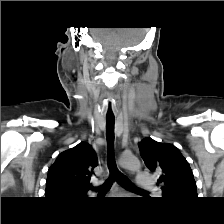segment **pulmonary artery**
<instances>
[{
  "label": "pulmonary artery",
  "mask_w": 224,
  "mask_h": 224,
  "mask_svg": "<svg viewBox=\"0 0 224 224\" xmlns=\"http://www.w3.org/2000/svg\"><path fill=\"white\" fill-rule=\"evenodd\" d=\"M136 182H137V185L142 188L150 189L155 187L154 178L150 174L145 172H140L137 174Z\"/></svg>",
  "instance_id": "obj_1"
}]
</instances>
